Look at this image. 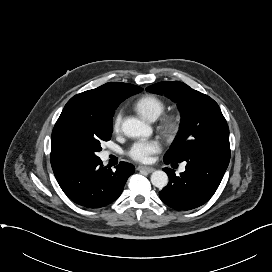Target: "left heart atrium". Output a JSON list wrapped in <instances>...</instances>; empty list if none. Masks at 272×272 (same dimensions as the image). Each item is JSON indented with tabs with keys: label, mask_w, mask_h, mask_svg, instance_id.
Instances as JSON below:
<instances>
[{
	"label": "left heart atrium",
	"mask_w": 272,
	"mask_h": 272,
	"mask_svg": "<svg viewBox=\"0 0 272 272\" xmlns=\"http://www.w3.org/2000/svg\"><path fill=\"white\" fill-rule=\"evenodd\" d=\"M160 150L161 144L158 140H139L130 147L128 155L135 161L147 163Z\"/></svg>",
	"instance_id": "obj_1"
}]
</instances>
